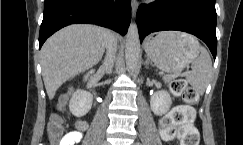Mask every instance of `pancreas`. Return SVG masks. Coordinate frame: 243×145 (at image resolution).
<instances>
[{"label": "pancreas", "mask_w": 243, "mask_h": 145, "mask_svg": "<svg viewBox=\"0 0 243 145\" xmlns=\"http://www.w3.org/2000/svg\"><path fill=\"white\" fill-rule=\"evenodd\" d=\"M165 80L168 81L169 80V77H166Z\"/></svg>", "instance_id": "cf45deb5"}]
</instances>
